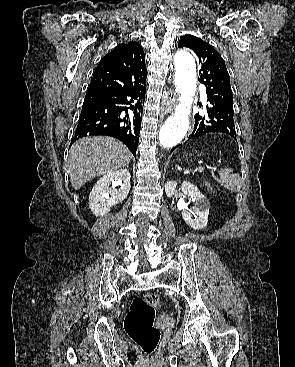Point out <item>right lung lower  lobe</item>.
Returning a JSON list of instances; mask_svg holds the SVG:
<instances>
[{
    "label": "right lung lower lobe",
    "instance_id": "obj_1",
    "mask_svg": "<svg viewBox=\"0 0 295 367\" xmlns=\"http://www.w3.org/2000/svg\"><path fill=\"white\" fill-rule=\"evenodd\" d=\"M146 85L124 91H87L76 140L88 135L112 136L122 141L136 156Z\"/></svg>",
    "mask_w": 295,
    "mask_h": 367
}]
</instances>
